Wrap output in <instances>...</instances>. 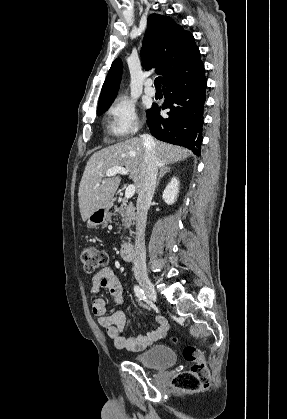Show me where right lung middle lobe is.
Returning <instances> with one entry per match:
<instances>
[{
  "instance_id": "dd1d6c3e",
  "label": "right lung middle lobe",
  "mask_w": 287,
  "mask_h": 419,
  "mask_svg": "<svg viewBox=\"0 0 287 419\" xmlns=\"http://www.w3.org/2000/svg\"><path fill=\"white\" fill-rule=\"evenodd\" d=\"M110 105L111 104L98 108L97 109V115L99 116V115L103 114L109 108ZM148 112H149V110H147V113Z\"/></svg>"
}]
</instances>
